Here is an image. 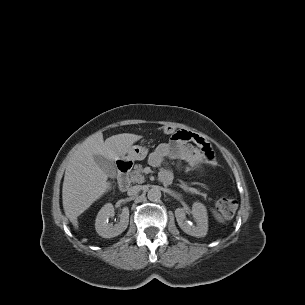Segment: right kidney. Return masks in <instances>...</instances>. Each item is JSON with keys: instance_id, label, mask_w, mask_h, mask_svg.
Instances as JSON below:
<instances>
[{"instance_id": "1", "label": "right kidney", "mask_w": 305, "mask_h": 305, "mask_svg": "<svg viewBox=\"0 0 305 305\" xmlns=\"http://www.w3.org/2000/svg\"><path fill=\"white\" fill-rule=\"evenodd\" d=\"M114 216V207L111 203L105 204L98 212L95 222L96 232L103 238H112L126 230L129 223V209L124 207L120 214V221L113 225L109 218Z\"/></svg>"}]
</instances>
